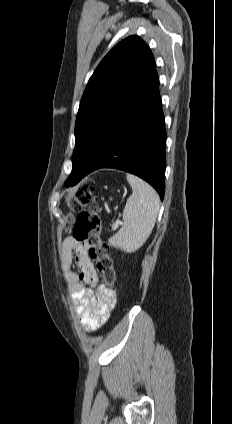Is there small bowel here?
I'll return each instance as SVG.
<instances>
[{
	"label": "small bowel",
	"mask_w": 232,
	"mask_h": 424,
	"mask_svg": "<svg viewBox=\"0 0 232 424\" xmlns=\"http://www.w3.org/2000/svg\"><path fill=\"white\" fill-rule=\"evenodd\" d=\"M73 265L78 271L72 269ZM60 267L81 325L88 332L98 330L108 320L116 295L99 286L88 245L72 237L65 238L60 247Z\"/></svg>",
	"instance_id": "small-bowel-1"
}]
</instances>
